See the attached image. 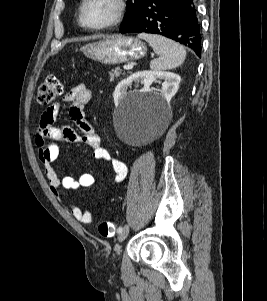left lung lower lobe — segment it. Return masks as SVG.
<instances>
[{
	"instance_id": "obj_1",
	"label": "left lung lower lobe",
	"mask_w": 267,
	"mask_h": 301,
	"mask_svg": "<svg viewBox=\"0 0 267 301\" xmlns=\"http://www.w3.org/2000/svg\"><path fill=\"white\" fill-rule=\"evenodd\" d=\"M121 33H152L171 38L201 54V35L193 0H146Z\"/></svg>"
}]
</instances>
